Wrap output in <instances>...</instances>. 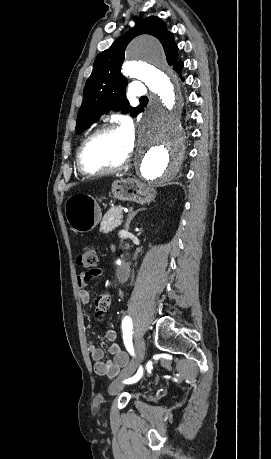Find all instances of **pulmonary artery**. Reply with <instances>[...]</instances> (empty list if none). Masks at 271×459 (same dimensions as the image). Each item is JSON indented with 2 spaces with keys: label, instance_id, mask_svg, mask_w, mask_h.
<instances>
[{
  "label": "pulmonary artery",
  "instance_id": "e3ab8cb5",
  "mask_svg": "<svg viewBox=\"0 0 271 459\" xmlns=\"http://www.w3.org/2000/svg\"><path fill=\"white\" fill-rule=\"evenodd\" d=\"M133 96L135 98H145L147 95L146 90L143 87V84L140 81H137L133 84Z\"/></svg>",
  "mask_w": 271,
  "mask_h": 459
}]
</instances>
